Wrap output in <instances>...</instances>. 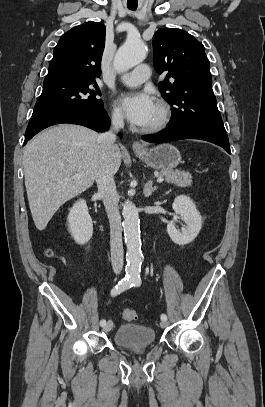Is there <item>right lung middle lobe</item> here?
Segmentation results:
<instances>
[{
    "instance_id": "obj_1",
    "label": "right lung middle lobe",
    "mask_w": 265,
    "mask_h": 407,
    "mask_svg": "<svg viewBox=\"0 0 265 407\" xmlns=\"http://www.w3.org/2000/svg\"><path fill=\"white\" fill-rule=\"evenodd\" d=\"M95 80L45 78L43 91L36 102L28 127L67 112L103 109Z\"/></svg>"
}]
</instances>
